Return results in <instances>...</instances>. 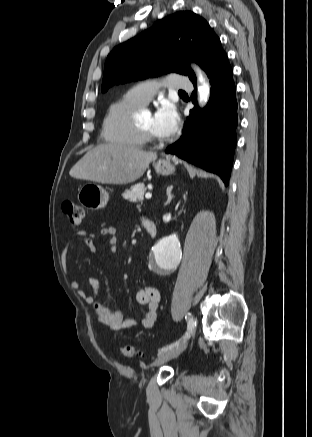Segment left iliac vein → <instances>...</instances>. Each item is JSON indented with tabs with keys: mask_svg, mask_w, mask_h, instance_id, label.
Listing matches in <instances>:
<instances>
[{
	"mask_svg": "<svg viewBox=\"0 0 312 437\" xmlns=\"http://www.w3.org/2000/svg\"><path fill=\"white\" fill-rule=\"evenodd\" d=\"M188 341H189V337H186L177 346L160 353L156 358L154 365L160 366L165 362L179 356L186 349L188 345Z\"/></svg>",
	"mask_w": 312,
	"mask_h": 437,
	"instance_id": "1",
	"label": "left iliac vein"
}]
</instances>
